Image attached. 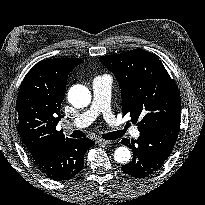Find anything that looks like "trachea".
I'll use <instances>...</instances> for the list:
<instances>
[{"label":"trachea","instance_id":"obj_1","mask_svg":"<svg viewBox=\"0 0 205 205\" xmlns=\"http://www.w3.org/2000/svg\"><path fill=\"white\" fill-rule=\"evenodd\" d=\"M124 134H125V130H119V131L103 134L102 138L107 140H115L121 138ZM70 136L73 138H82V137H86V134L80 130H74Z\"/></svg>","mask_w":205,"mask_h":205}]
</instances>
